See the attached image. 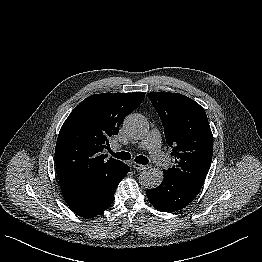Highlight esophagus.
Listing matches in <instances>:
<instances>
[{"mask_svg":"<svg viewBox=\"0 0 262 262\" xmlns=\"http://www.w3.org/2000/svg\"><path fill=\"white\" fill-rule=\"evenodd\" d=\"M132 166H133L135 169H137V170H145V169L151 168L150 165H141V164H138V163H133Z\"/></svg>","mask_w":262,"mask_h":262,"instance_id":"34e87169","label":"esophagus"}]
</instances>
